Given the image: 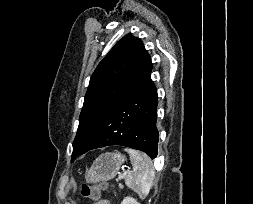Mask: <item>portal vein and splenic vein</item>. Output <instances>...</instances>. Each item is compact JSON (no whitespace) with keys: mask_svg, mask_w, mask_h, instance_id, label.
Wrapping results in <instances>:
<instances>
[{"mask_svg":"<svg viewBox=\"0 0 253 204\" xmlns=\"http://www.w3.org/2000/svg\"><path fill=\"white\" fill-rule=\"evenodd\" d=\"M131 172V170H126L124 171V173L122 174V176L120 177V179L124 178L127 174H129Z\"/></svg>","mask_w":253,"mask_h":204,"instance_id":"portal-vein-and-splenic-vein-1","label":"portal vein and splenic vein"}]
</instances>
